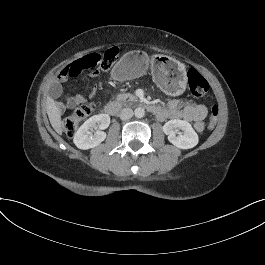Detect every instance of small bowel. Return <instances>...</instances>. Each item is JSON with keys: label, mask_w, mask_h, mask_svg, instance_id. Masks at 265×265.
<instances>
[{"label": "small bowel", "mask_w": 265, "mask_h": 265, "mask_svg": "<svg viewBox=\"0 0 265 265\" xmlns=\"http://www.w3.org/2000/svg\"><path fill=\"white\" fill-rule=\"evenodd\" d=\"M97 71L91 73V77H95ZM95 88H91L90 94H93ZM51 95L56 98L61 94V87L54 83L50 88ZM86 101V97L82 94H76L66 98L65 103H58L57 110L63 112L66 109L74 108ZM207 107L203 104H192L183 100H171L166 108H162V114L158 116L160 119H174L192 122L197 132L204 130V119L207 116Z\"/></svg>", "instance_id": "small-bowel-1"}]
</instances>
